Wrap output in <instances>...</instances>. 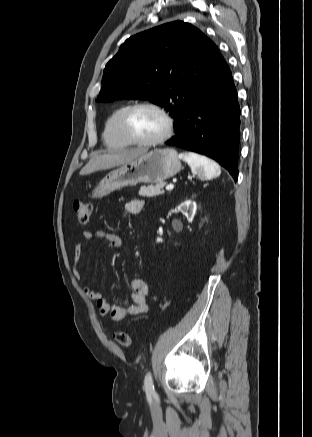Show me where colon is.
<instances>
[{
  "label": "colon",
  "mask_w": 312,
  "mask_h": 437,
  "mask_svg": "<svg viewBox=\"0 0 312 437\" xmlns=\"http://www.w3.org/2000/svg\"><path fill=\"white\" fill-rule=\"evenodd\" d=\"M73 210L77 222L80 224H86L93 211V205L89 202L76 200L73 203ZM114 337L120 346L125 348H129L132 346V339L128 333L124 331H117Z\"/></svg>",
  "instance_id": "5ec220e1"
}]
</instances>
